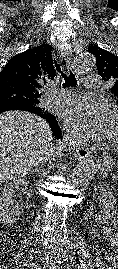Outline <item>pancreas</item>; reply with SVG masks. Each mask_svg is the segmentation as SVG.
Returning a JSON list of instances; mask_svg holds the SVG:
<instances>
[{"label": "pancreas", "instance_id": "obj_1", "mask_svg": "<svg viewBox=\"0 0 118 269\" xmlns=\"http://www.w3.org/2000/svg\"><path fill=\"white\" fill-rule=\"evenodd\" d=\"M108 181H111V178H108Z\"/></svg>", "mask_w": 118, "mask_h": 269}]
</instances>
